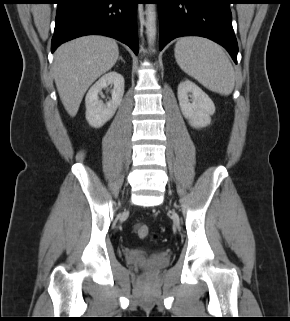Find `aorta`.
Segmentation results:
<instances>
[{"mask_svg":"<svg viewBox=\"0 0 290 321\" xmlns=\"http://www.w3.org/2000/svg\"><path fill=\"white\" fill-rule=\"evenodd\" d=\"M146 33L149 45L153 46L156 35L155 4H146Z\"/></svg>","mask_w":290,"mask_h":321,"instance_id":"762f6f07","label":"aorta"}]
</instances>
